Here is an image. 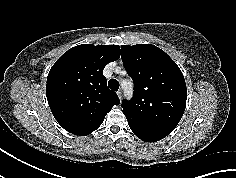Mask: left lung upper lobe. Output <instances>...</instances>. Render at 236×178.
Masks as SVG:
<instances>
[{"label":"left lung upper lobe","mask_w":236,"mask_h":178,"mask_svg":"<svg viewBox=\"0 0 236 178\" xmlns=\"http://www.w3.org/2000/svg\"><path fill=\"white\" fill-rule=\"evenodd\" d=\"M121 58L134 81L132 100L122 101L130 128L167 136L183 116L187 90L177 64L149 44L122 45Z\"/></svg>","instance_id":"obj_1"}]
</instances>
